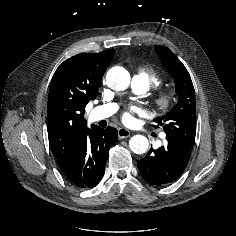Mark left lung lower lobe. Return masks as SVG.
I'll list each match as a JSON object with an SVG mask.
<instances>
[{
  "label": "left lung lower lobe",
  "instance_id": "1",
  "mask_svg": "<svg viewBox=\"0 0 236 236\" xmlns=\"http://www.w3.org/2000/svg\"><path fill=\"white\" fill-rule=\"evenodd\" d=\"M190 151L168 141L167 145L151 149L137 162L143 178L151 185H165L176 181L189 161Z\"/></svg>",
  "mask_w": 236,
  "mask_h": 236
}]
</instances>
